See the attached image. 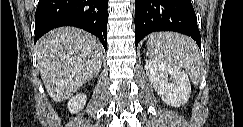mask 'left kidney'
<instances>
[{
	"label": "left kidney",
	"mask_w": 243,
	"mask_h": 127,
	"mask_svg": "<svg viewBox=\"0 0 243 127\" xmlns=\"http://www.w3.org/2000/svg\"><path fill=\"white\" fill-rule=\"evenodd\" d=\"M149 81L162 100L173 107L187 103L191 94L188 75L178 66L149 60L145 64Z\"/></svg>",
	"instance_id": "5707ae66"
}]
</instances>
